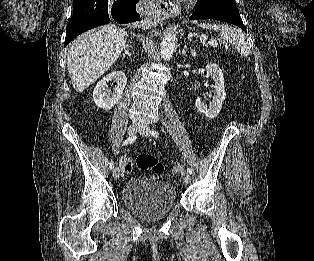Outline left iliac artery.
I'll return each mask as SVG.
<instances>
[{
    "label": "left iliac artery",
    "mask_w": 314,
    "mask_h": 261,
    "mask_svg": "<svg viewBox=\"0 0 314 261\" xmlns=\"http://www.w3.org/2000/svg\"><path fill=\"white\" fill-rule=\"evenodd\" d=\"M151 135L153 136V137H159V133L157 132V131H154V130H152L151 132ZM187 172L189 173V174H192V169L190 168V167H188L187 168Z\"/></svg>",
    "instance_id": "obj_1"
}]
</instances>
